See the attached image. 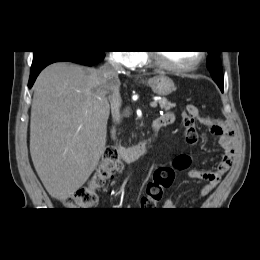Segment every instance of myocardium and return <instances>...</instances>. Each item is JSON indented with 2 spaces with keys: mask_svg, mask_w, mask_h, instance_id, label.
Masks as SVG:
<instances>
[{
  "mask_svg": "<svg viewBox=\"0 0 260 260\" xmlns=\"http://www.w3.org/2000/svg\"><path fill=\"white\" fill-rule=\"evenodd\" d=\"M147 55L150 59V61L156 65L159 68H162L167 71H172V72H188L192 71L195 68H197L201 62L204 60L205 53L203 51H198V57L197 59L187 65H173L168 62H166L160 55V53L155 52V51H148Z\"/></svg>",
  "mask_w": 260,
  "mask_h": 260,
  "instance_id": "1",
  "label": "myocardium"
}]
</instances>
